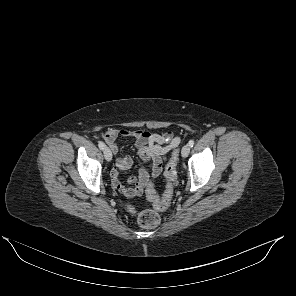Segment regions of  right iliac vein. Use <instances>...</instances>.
<instances>
[{
	"mask_svg": "<svg viewBox=\"0 0 296 296\" xmlns=\"http://www.w3.org/2000/svg\"><path fill=\"white\" fill-rule=\"evenodd\" d=\"M103 153L106 161L110 162L112 160V153L110 149L108 147H105Z\"/></svg>",
	"mask_w": 296,
	"mask_h": 296,
	"instance_id": "1",
	"label": "right iliac vein"
}]
</instances>
